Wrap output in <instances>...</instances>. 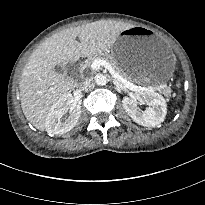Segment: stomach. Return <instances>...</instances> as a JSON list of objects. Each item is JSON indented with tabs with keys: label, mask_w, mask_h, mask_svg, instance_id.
I'll return each instance as SVG.
<instances>
[{
	"label": "stomach",
	"mask_w": 205,
	"mask_h": 205,
	"mask_svg": "<svg viewBox=\"0 0 205 205\" xmlns=\"http://www.w3.org/2000/svg\"><path fill=\"white\" fill-rule=\"evenodd\" d=\"M109 52L121 71L139 84L162 83L175 66L168 44L152 29L143 26L123 30Z\"/></svg>",
	"instance_id": "0dacf381"
}]
</instances>
